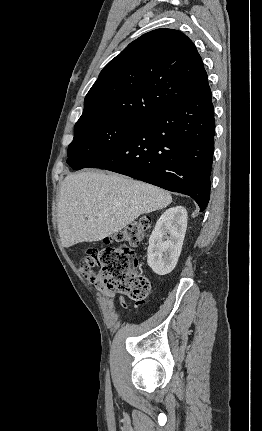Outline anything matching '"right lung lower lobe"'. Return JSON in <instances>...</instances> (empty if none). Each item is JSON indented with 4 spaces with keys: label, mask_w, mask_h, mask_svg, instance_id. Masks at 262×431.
I'll list each match as a JSON object with an SVG mask.
<instances>
[{
    "label": "right lung lower lobe",
    "mask_w": 262,
    "mask_h": 431,
    "mask_svg": "<svg viewBox=\"0 0 262 431\" xmlns=\"http://www.w3.org/2000/svg\"><path fill=\"white\" fill-rule=\"evenodd\" d=\"M214 107L208 86L198 95L143 120L87 168L130 176L191 196L205 210L210 198Z\"/></svg>",
    "instance_id": "obj_1"
}]
</instances>
